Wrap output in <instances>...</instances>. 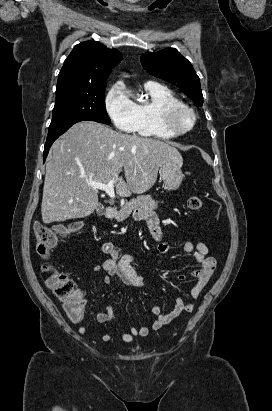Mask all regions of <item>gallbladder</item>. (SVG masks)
Masks as SVG:
<instances>
[{
    "instance_id": "bac80fb5",
    "label": "gallbladder",
    "mask_w": 272,
    "mask_h": 411,
    "mask_svg": "<svg viewBox=\"0 0 272 411\" xmlns=\"http://www.w3.org/2000/svg\"><path fill=\"white\" fill-rule=\"evenodd\" d=\"M97 214L98 215H103L104 214V212H105V209H104V207L101 205V204H99L98 206H97Z\"/></svg>"
}]
</instances>
